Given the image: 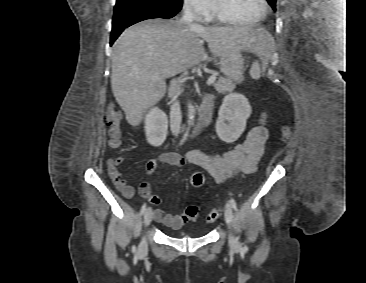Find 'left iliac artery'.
<instances>
[{
  "mask_svg": "<svg viewBox=\"0 0 366 283\" xmlns=\"http://www.w3.org/2000/svg\"><path fill=\"white\" fill-rule=\"evenodd\" d=\"M229 203L232 206V208L237 211V205L233 198L230 199Z\"/></svg>",
  "mask_w": 366,
  "mask_h": 283,
  "instance_id": "obj_1",
  "label": "left iliac artery"
}]
</instances>
